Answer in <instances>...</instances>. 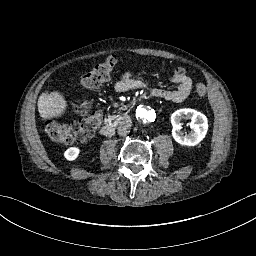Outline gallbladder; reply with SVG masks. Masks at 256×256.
I'll use <instances>...</instances> for the list:
<instances>
[{
  "label": "gallbladder",
  "instance_id": "bac80fb5",
  "mask_svg": "<svg viewBox=\"0 0 256 256\" xmlns=\"http://www.w3.org/2000/svg\"><path fill=\"white\" fill-rule=\"evenodd\" d=\"M81 104L86 113H90L92 111V104L86 98H81Z\"/></svg>",
  "mask_w": 256,
  "mask_h": 256
}]
</instances>
